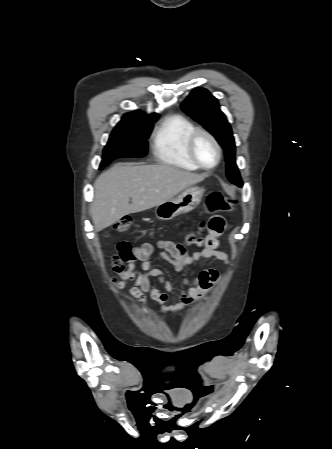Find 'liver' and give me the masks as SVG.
<instances>
[{
  "mask_svg": "<svg viewBox=\"0 0 332 449\" xmlns=\"http://www.w3.org/2000/svg\"><path fill=\"white\" fill-rule=\"evenodd\" d=\"M204 179L205 175L166 164H115L94 184L95 196L90 213L95 230L101 231L127 214L160 205Z\"/></svg>",
  "mask_w": 332,
  "mask_h": 449,
  "instance_id": "6515ba94",
  "label": "liver"
}]
</instances>
